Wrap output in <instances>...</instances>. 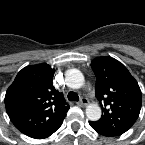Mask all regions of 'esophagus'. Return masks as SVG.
I'll use <instances>...</instances> for the list:
<instances>
[{
	"mask_svg": "<svg viewBox=\"0 0 145 145\" xmlns=\"http://www.w3.org/2000/svg\"><path fill=\"white\" fill-rule=\"evenodd\" d=\"M77 104L80 106H86L88 104V100L86 98H81Z\"/></svg>",
	"mask_w": 145,
	"mask_h": 145,
	"instance_id": "34e87169",
	"label": "esophagus"
}]
</instances>
